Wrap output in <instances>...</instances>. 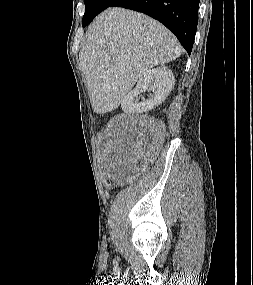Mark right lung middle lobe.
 <instances>
[{"label":"right lung middle lobe","instance_id":"1","mask_svg":"<svg viewBox=\"0 0 253 285\" xmlns=\"http://www.w3.org/2000/svg\"><path fill=\"white\" fill-rule=\"evenodd\" d=\"M115 0H84L85 13L82 20V26L88 25L100 12L108 8Z\"/></svg>","mask_w":253,"mask_h":285}]
</instances>
